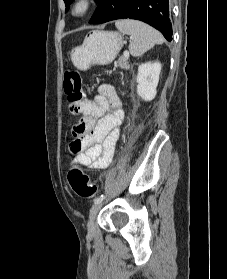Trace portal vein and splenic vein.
Listing matches in <instances>:
<instances>
[{
    "instance_id": "18ae733b",
    "label": "portal vein and splenic vein",
    "mask_w": 227,
    "mask_h": 279,
    "mask_svg": "<svg viewBox=\"0 0 227 279\" xmlns=\"http://www.w3.org/2000/svg\"><path fill=\"white\" fill-rule=\"evenodd\" d=\"M123 56L127 59V58H129V52L127 51V50H125L124 52H123Z\"/></svg>"
}]
</instances>
